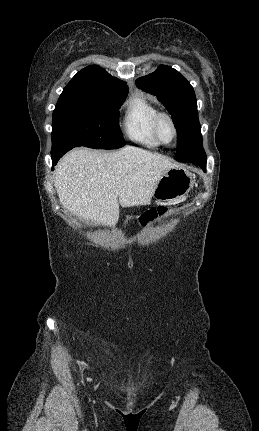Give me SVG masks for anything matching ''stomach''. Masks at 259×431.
Returning <instances> with one entry per match:
<instances>
[{"label":"stomach","instance_id":"1","mask_svg":"<svg viewBox=\"0 0 259 431\" xmlns=\"http://www.w3.org/2000/svg\"><path fill=\"white\" fill-rule=\"evenodd\" d=\"M194 184L193 174L182 167L165 172L159 180L153 196L158 202H171L184 197Z\"/></svg>","mask_w":259,"mask_h":431}]
</instances>
